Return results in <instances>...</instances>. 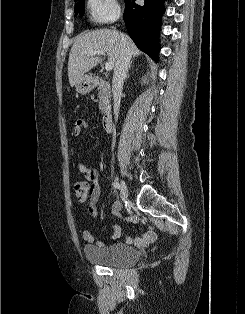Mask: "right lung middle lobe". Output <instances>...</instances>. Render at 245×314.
<instances>
[{"instance_id":"dd1d6c3e","label":"right lung middle lobe","mask_w":245,"mask_h":314,"mask_svg":"<svg viewBox=\"0 0 245 314\" xmlns=\"http://www.w3.org/2000/svg\"><path fill=\"white\" fill-rule=\"evenodd\" d=\"M77 1V0H76ZM84 11V0H81L76 6H75V13H79L81 16L83 15Z\"/></svg>"}]
</instances>
